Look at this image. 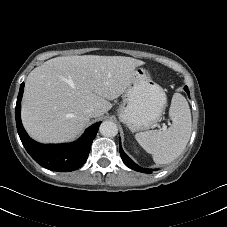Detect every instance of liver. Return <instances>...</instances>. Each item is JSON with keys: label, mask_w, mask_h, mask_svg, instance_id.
<instances>
[{"label": "liver", "mask_w": 227, "mask_h": 227, "mask_svg": "<svg viewBox=\"0 0 227 227\" xmlns=\"http://www.w3.org/2000/svg\"><path fill=\"white\" fill-rule=\"evenodd\" d=\"M144 62L125 56H62L33 69L25 82L22 123L42 143L76 138L88 124L85 110L95 117L112 108L110 100L124 93L134 69Z\"/></svg>", "instance_id": "6515ba94"}]
</instances>
